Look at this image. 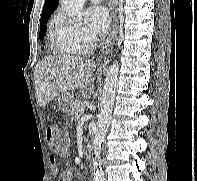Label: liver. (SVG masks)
I'll list each match as a JSON object with an SVG mask.
<instances>
[{
  "mask_svg": "<svg viewBox=\"0 0 197 181\" xmlns=\"http://www.w3.org/2000/svg\"><path fill=\"white\" fill-rule=\"evenodd\" d=\"M94 69L93 62L80 56L45 57L34 69L37 104L45 107L63 92L88 86Z\"/></svg>",
  "mask_w": 197,
  "mask_h": 181,
  "instance_id": "obj_1",
  "label": "liver"
}]
</instances>
